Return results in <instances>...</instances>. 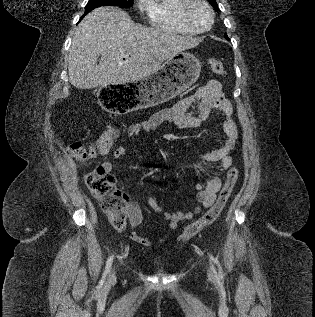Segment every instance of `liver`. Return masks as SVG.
Masks as SVG:
<instances>
[{"instance_id":"1","label":"liver","mask_w":315,"mask_h":317,"mask_svg":"<svg viewBox=\"0 0 315 317\" xmlns=\"http://www.w3.org/2000/svg\"><path fill=\"white\" fill-rule=\"evenodd\" d=\"M199 43L191 36L135 24L118 7H100L76 29L68 57L69 81L79 89L139 81Z\"/></svg>"}]
</instances>
